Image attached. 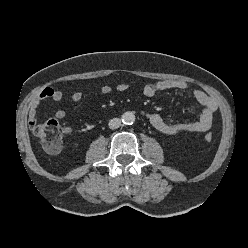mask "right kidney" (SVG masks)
Instances as JSON below:
<instances>
[{
    "label": "right kidney",
    "instance_id": "obj_1",
    "mask_svg": "<svg viewBox=\"0 0 248 248\" xmlns=\"http://www.w3.org/2000/svg\"><path fill=\"white\" fill-rule=\"evenodd\" d=\"M77 145H78V144L75 143V144H74V147H77Z\"/></svg>",
    "mask_w": 248,
    "mask_h": 248
}]
</instances>
